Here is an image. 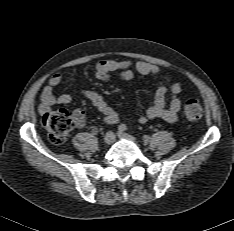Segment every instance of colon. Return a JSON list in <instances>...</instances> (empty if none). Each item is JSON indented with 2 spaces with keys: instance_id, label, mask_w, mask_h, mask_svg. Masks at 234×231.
<instances>
[{
  "instance_id": "colon-1",
  "label": "colon",
  "mask_w": 234,
  "mask_h": 231,
  "mask_svg": "<svg viewBox=\"0 0 234 231\" xmlns=\"http://www.w3.org/2000/svg\"><path fill=\"white\" fill-rule=\"evenodd\" d=\"M184 113L188 120L197 122L203 117V108L197 100L190 99L185 104ZM42 123L48 131L49 139L57 144L62 143L75 126V121L67 109L45 112Z\"/></svg>"
}]
</instances>
